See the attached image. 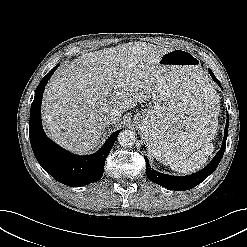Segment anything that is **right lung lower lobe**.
Instances as JSON below:
<instances>
[{
	"instance_id": "right-lung-lower-lobe-1",
	"label": "right lung lower lobe",
	"mask_w": 247,
	"mask_h": 247,
	"mask_svg": "<svg viewBox=\"0 0 247 247\" xmlns=\"http://www.w3.org/2000/svg\"><path fill=\"white\" fill-rule=\"evenodd\" d=\"M58 66L54 67L36 88L30 111V142L37 161L55 180L68 186H83L102 177L105 160L119 131L111 134L97 153L87 156L74 155L46 136L41 124V101L45 85Z\"/></svg>"
}]
</instances>
